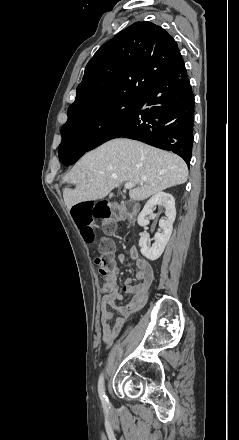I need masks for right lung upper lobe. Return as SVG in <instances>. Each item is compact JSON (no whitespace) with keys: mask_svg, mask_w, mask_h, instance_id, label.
Returning <instances> with one entry per match:
<instances>
[{"mask_svg":"<svg viewBox=\"0 0 239 440\" xmlns=\"http://www.w3.org/2000/svg\"><path fill=\"white\" fill-rule=\"evenodd\" d=\"M182 59L160 26L136 22L102 45L88 62L68 118L116 97L139 98Z\"/></svg>","mask_w":239,"mask_h":440,"instance_id":"cb5924a9","label":"right lung upper lobe"}]
</instances>
